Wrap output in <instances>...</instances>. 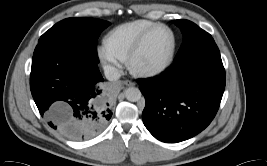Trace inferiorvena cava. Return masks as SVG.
Returning <instances> with one entry per match:
<instances>
[{"instance_id":"1","label":"inferior vena cava","mask_w":267,"mask_h":166,"mask_svg":"<svg viewBox=\"0 0 267 166\" xmlns=\"http://www.w3.org/2000/svg\"><path fill=\"white\" fill-rule=\"evenodd\" d=\"M104 74L109 81H116L121 76L118 69L109 65L104 67Z\"/></svg>"}]
</instances>
